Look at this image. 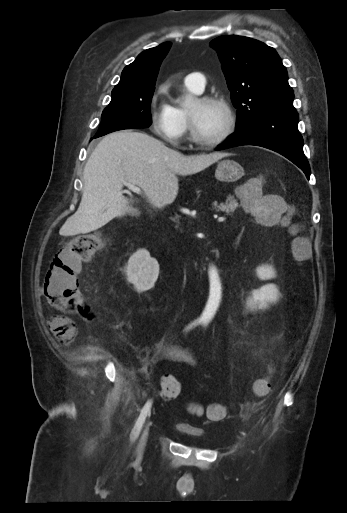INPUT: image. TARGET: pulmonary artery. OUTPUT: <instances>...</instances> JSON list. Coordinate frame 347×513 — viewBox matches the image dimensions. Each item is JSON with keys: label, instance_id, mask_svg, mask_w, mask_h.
<instances>
[{"label": "pulmonary artery", "instance_id": "obj_1", "mask_svg": "<svg viewBox=\"0 0 347 513\" xmlns=\"http://www.w3.org/2000/svg\"><path fill=\"white\" fill-rule=\"evenodd\" d=\"M185 83L192 87L197 93H200L205 88L206 77L201 72H193L186 76Z\"/></svg>", "mask_w": 347, "mask_h": 513}]
</instances>
